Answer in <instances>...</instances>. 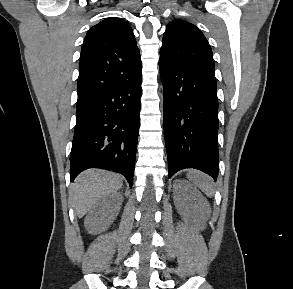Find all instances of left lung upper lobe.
Segmentation results:
<instances>
[{"label":"left lung upper lobe","mask_w":293,"mask_h":289,"mask_svg":"<svg viewBox=\"0 0 293 289\" xmlns=\"http://www.w3.org/2000/svg\"><path fill=\"white\" fill-rule=\"evenodd\" d=\"M160 61L172 67L214 75V60L207 39L199 28L183 20L167 25Z\"/></svg>","instance_id":"obj_1"}]
</instances>
